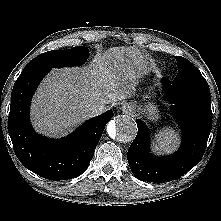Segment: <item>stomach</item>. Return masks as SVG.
Returning <instances> with one entry per match:
<instances>
[{"mask_svg": "<svg viewBox=\"0 0 221 221\" xmlns=\"http://www.w3.org/2000/svg\"><path fill=\"white\" fill-rule=\"evenodd\" d=\"M133 107V112L143 113L147 116L148 120L155 121L158 119L159 114L157 107L154 104H147L143 109H141L136 103H130Z\"/></svg>", "mask_w": 221, "mask_h": 221, "instance_id": "0dacf381", "label": "stomach"}]
</instances>
